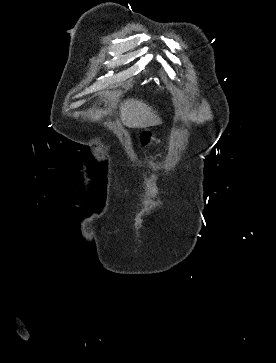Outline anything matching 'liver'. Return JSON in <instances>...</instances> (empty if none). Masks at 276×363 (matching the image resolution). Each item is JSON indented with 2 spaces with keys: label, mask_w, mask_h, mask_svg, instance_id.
Instances as JSON below:
<instances>
[{
  "label": "liver",
  "mask_w": 276,
  "mask_h": 363,
  "mask_svg": "<svg viewBox=\"0 0 276 363\" xmlns=\"http://www.w3.org/2000/svg\"><path fill=\"white\" fill-rule=\"evenodd\" d=\"M121 121L129 128H146L159 125L161 119L143 101L128 99L121 104Z\"/></svg>",
  "instance_id": "1"
}]
</instances>
